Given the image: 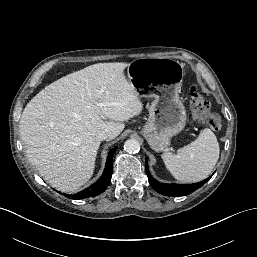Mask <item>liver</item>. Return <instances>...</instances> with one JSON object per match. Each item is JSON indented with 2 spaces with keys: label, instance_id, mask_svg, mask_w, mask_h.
<instances>
[{
  "label": "liver",
  "instance_id": "obj_1",
  "mask_svg": "<svg viewBox=\"0 0 257 257\" xmlns=\"http://www.w3.org/2000/svg\"><path fill=\"white\" fill-rule=\"evenodd\" d=\"M128 65H90L54 81L26 105L19 122L26 156L53 188L78 191L94 172L99 133L118 136L123 121L142 112L124 76Z\"/></svg>",
  "mask_w": 257,
  "mask_h": 257
}]
</instances>
